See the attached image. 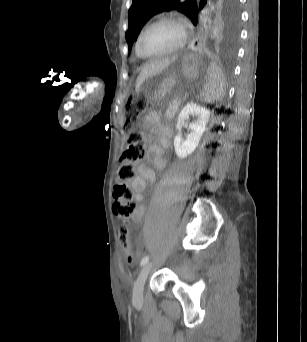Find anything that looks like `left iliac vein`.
I'll return each instance as SVG.
<instances>
[{"instance_id":"4c4485c4","label":"left iliac vein","mask_w":307,"mask_h":342,"mask_svg":"<svg viewBox=\"0 0 307 342\" xmlns=\"http://www.w3.org/2000/svg\"><path fill=\"white\" fill-rule=\"evenodd\" d=\"M152 264L146 263L137 278L134 291H133V302L141 303L143 301V292L146 279L148 277L149 271L151 270Z\"/></svg>"}]
</instances>
